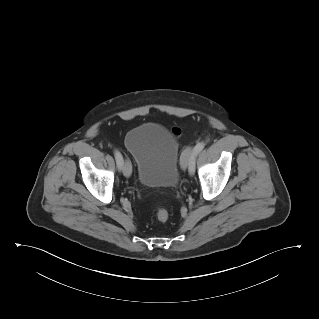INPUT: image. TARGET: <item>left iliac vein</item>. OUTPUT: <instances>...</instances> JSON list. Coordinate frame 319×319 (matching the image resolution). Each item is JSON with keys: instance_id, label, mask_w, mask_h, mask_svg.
Returning a JSON list of instances; mask_svg holds the SVG:
<instances>
[{"instance_id": "obj_1", "label": "left iliac vein", "mask_w": 319, "mask_h": 319, "mask_svg": "<svg viewBox=\"0 0 319 319\" xmlns=\"http://www.w3.org/2000/svg\"><path fill=\"white\" fill-rule=\"evenodd\" d=\"M193 154H194V148L192 147H187L185 151L183 152L181 156V167L183 170L187 169L189 165V161L192 158Z\"/></svg>"}]
</instances>
